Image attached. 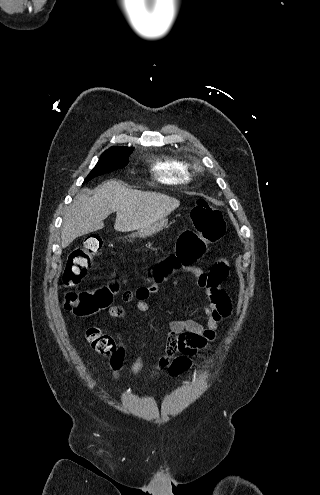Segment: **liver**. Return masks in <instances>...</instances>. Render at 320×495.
<instances>
[{"label": "liver", "mask_w": 320, "mask_h": 495, "mask_svg": "<svg viewBox=\"0 0 320 495\" xmlns=\"http://www.w3.org/2000/svg\"><path fill=\"white\" fill-rule=\"evenodd\" d=\"M180 202L168 195L128 189L117 180L102 183L92 193L82 190L66 211L61 230L62 248L73 240L104 228L103 221L116 212L114 228L129 232L166 217Z\"/></svg>", "instance_id": "liver-1"}]
</instances>
